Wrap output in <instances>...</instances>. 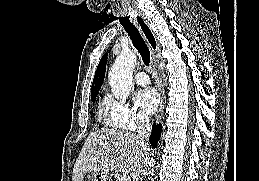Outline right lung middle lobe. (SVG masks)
<instances>
[{
    "instance_id": "obj_1",
    "label": "right lung middle lobe",
    "mask_w": 259,
    "mask_h": 181,
    "mask_svg": "<svg viewBox=\"0 0 259 181\" xmlns=\"http://www.w3.org/2000/svg\"><path fill=\"white\" fill-rule=\"evenodd\" d=\"M96 99V96L95 97H91V100L94 102Z\"/></svg>"
}]
</instances>
